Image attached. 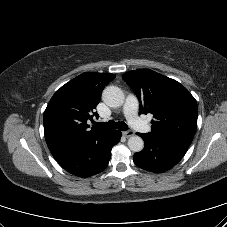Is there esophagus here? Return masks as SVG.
I'll return each mask as SVG.
<instances>
[{"label": "esophagus", "mask_w": 227, "mask_h": 227, "mask_svg": "<svg viewBox=\"0 0 227 227\" xmlns=\"http://www.w3.org/2000/svg\"><path fill=\"white\" fill-rule=\"evenodd\" d=\"M123 135L126 137V138H129L131 136L134 135V132L132 130H128V131H125L123 132Z\"/></svg>", "instance_id": "obj_1"}]
</instances>
